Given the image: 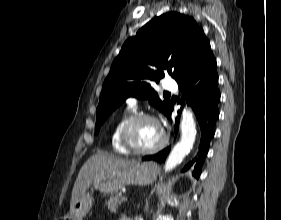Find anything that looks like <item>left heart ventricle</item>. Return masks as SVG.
I'll return each instance as SVG.
<instances>
[{
    "label": "left heart ventricle",
    "mask_w": 281,
    "mask_h": 220,
    "mask_svg": "<svg viewBox=\"0 0 281 220\" xmlns=\"http://www.w3.org/2000/svg\"><path fill=\"white\" fill-rule=\"evenodd\" d=\"M132 139L139 148H152L161 142L162 130L154 121H142L134 128Z\"/></svg>",
    "instance_id": "left-heart-ventricle-1"
}]
</instances>
